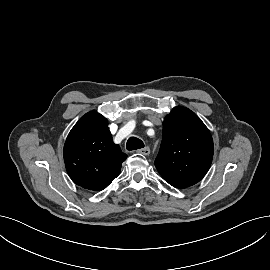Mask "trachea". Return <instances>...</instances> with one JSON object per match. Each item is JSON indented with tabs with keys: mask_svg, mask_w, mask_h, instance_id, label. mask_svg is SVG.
<instances>
[{
	"mask_svg": "<svg viewBox=\"0 0 270 270\" xmlns=\"http://www.w3.org/2000/svg\"><path fill=\"white\" fill-rule=\"evenodd\" d=\"M127 150H137L144 147V143L142 140L136 138V137H130L126 144Z\"/></svg>",
	"mask_w": 270,
	"mask_h": 270,
	"instance_id": "3493384b",
	"label": "trachea"
}]
</instances>
